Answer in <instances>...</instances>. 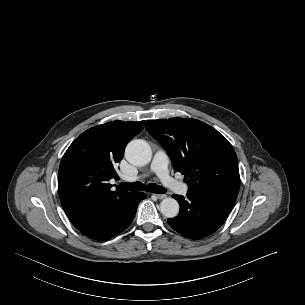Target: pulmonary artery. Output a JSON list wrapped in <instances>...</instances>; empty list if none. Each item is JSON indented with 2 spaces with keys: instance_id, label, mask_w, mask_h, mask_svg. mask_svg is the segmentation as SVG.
<instances>
[{
  "instance_id": "e3ab8cb5",
  "label": "pulmonary artery",
  "mask_w": 305,
  "mask_h": 305,
  "mask_svg": "<svg viewBox=\"0 0 305 305\" xmlns=\"http://www.w3.org/2000/svg\"><path fill=\"white\" fill-rule=\"evenodd\" d=\"M168 163L169 159L166 152L161 149L157 150L154 154L150 170L152 173H155L159 177L161 182L166 187L179 194L185 195L188 191L187 185L170 176L168 171Z\"/></svg>"
}]
</instances>
